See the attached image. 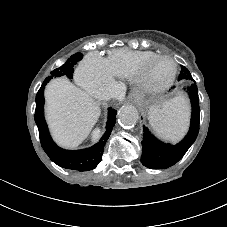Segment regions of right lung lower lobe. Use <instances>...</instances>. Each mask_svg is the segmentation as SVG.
I'll use <instances>...</instances> for the list:
<instances>
[{"instance_id": "1", "label": "right lung lower lobe", "mask_w": 227, "mask_h": 227, "mask_svg": "<svg viewBox=\"0 0 227 227\" xmlns=\"http://www.w3.org/2000/svg\"><path fill=\"white\" fill-rule=\"evenodd\" d=\"M44 85L36 95L35 122L39 130L41 146L50 159L60 167L88 171L97 167L101 161L104 145L108 140L116 122V110L109 108L106 132L99 142L90 148L82 150H65L58 147L52 140L44 118Z\"/></svg>"}]
</instances>
